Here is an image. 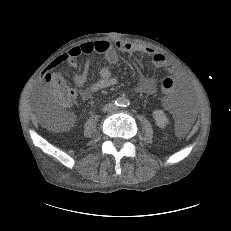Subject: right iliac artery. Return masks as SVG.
I'll list each match as a JSON object with an SVG mask.
<instances>
[{"label": "right iliac artery", "mask_w": 231, "mask_h": 231, "mask_svg": "<svg viewBox=\"0 0 231 231\" xmlns=\"http://www.w3.org/2000/svg\"><path fill=\"white\" fill-rule=\"evenodd\" d=\"M115 104H116L117 106H121V105H122V100H121V99H117V100L115 101Z\"/></svg>", "instance_id": "1"}]
</instances>
